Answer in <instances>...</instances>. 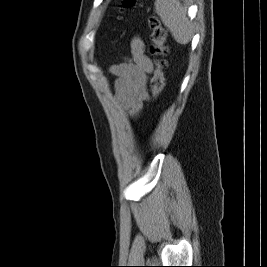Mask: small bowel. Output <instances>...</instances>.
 I'll return each mask as SVG.
<instances>
[{"label": "small bowel", "instance_id": "small-bowel-1", "mask_svg": "<svg viewBox=\"0 0 267 267\" xmlns=\"http://www.w3.org/2000/svg\"><path fill=\"white\" fill-rule=\"evenodd\" d=\"M131 58L128 61L114 64L110 72L116 77L115 97L117 103L130 116L136 117L149 95L146 91L147 76L153 65L145 54V45L141 38L131 40Z\"/></svg>", "mask_w": 267, "mask_h": 267}]
</instances>
